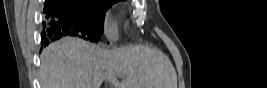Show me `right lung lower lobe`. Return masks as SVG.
<instances>
[{"label":"right lung lower lobe","instance_id":"obj_1","mask_svg":"<svg viewBox=\"0 0 267 88\" xmlns=\"http://www.w3.org/2000/svg\"><path fill=\"white\" fill-rule=\"evenodd\" d=\"M45 31L42 34L43 41L45 45L48 44V41L59 39L62 36H80L84 39H89L90 41H98L100 38L95 37L91 34H86L84 31H81L74 24L68 20L63 19H53L50 18L49 22L45 25Z\"/></svg>","mask_w":267,"mask_h":88}]
</instances>
